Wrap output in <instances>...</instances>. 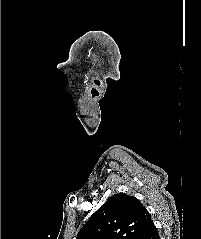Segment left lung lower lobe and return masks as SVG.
Here are the masks:
<instances>
[{"label": "left lung lower lobe", "instance_id": "1", "mask_svg": "<svg viewBox=\"0 0 201 239\" xmlns=\"http://www.w3.org/2000/svg\"><path fill=\"white\" fill-rule=\"evenodd\" d=\"M138 239H160L158 231L152 221L148 224L146 230L139 236Z\"/></svg>", "mask_w": 201, "mask_h": 239}]
</instances>
